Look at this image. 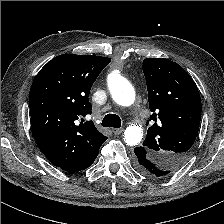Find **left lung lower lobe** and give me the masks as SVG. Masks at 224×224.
Wrapping results in <instances>:
<instances>
[{
  "instance_id": "1",
  "label": "left lung lower lobe",
  "mask_w": 224,
  "mask_h": 224,
  "mask_svg": "<svg viewBox=\"0 0 224 224\" xmlns=\"http://www.w3.org/2000/svg\"><path fill=\"white\" fill-rule=\"evenodd\" d=\"M135 152V167L142 175L150 178L160 177L163 172L157 167V165L148 158L147 152L141 148H134Z\"/></svg>"
}]
</instances>
